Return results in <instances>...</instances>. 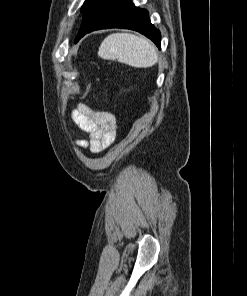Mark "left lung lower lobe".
<instances>
[{
  "label": "left lung lower lobe",
  "instance_id": "left-lung-lower-lobe-1",
  "mask_svg": "<svg viewBox=\"0 0 247 296\" xmlns=\"http://www.w3.org/2000/svg\"><path fill=\"white\" fill-rule=\"evenodd\" d=\"M106 28L138 31L160 48L161 34L151 24L148 11L136 7L131 0H99L83 15L75 43L87 33Z\"/></svg>",
  "mask_w": 247,
  "mask_h": 296
}]
</instances>
